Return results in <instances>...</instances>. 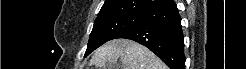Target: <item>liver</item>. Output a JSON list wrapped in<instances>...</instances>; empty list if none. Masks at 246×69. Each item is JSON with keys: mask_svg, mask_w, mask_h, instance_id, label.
I'll return each instance as SVG.
<instances>
[{"mask_svg": "<svg viewBox=\"0 0 246 69\" xmlns=\"http://www.w3.org/2000/svg\"><path fill=\"white\" fill-rule=\"evenodd\" d=\"M118 59L122 69H167L148 48L127 39L107 42L95 51L90 62L99 69H111Z\"/></svg>", "mask_w": 246, "mask_h": 69, "instance_id": "1", "label": "liver"}]
</instances>
